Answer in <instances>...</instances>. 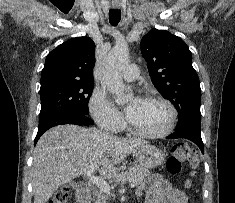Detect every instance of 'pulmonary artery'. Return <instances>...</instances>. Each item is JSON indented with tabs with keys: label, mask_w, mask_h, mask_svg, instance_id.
I'll list each match as a JSON object with an SVG mask.
<instances>
[{
	"label": "pulmonary artery",
	"mask_w": 235,
	"mask_h": 203,
	"mask_svg": "<svg viewBox=\"0 0 235 203\" xmlns=\"http://www.w3.org/2000/svg\"><path fill=\"white\" fill-rule=\"evenodd\" d=\"M138 75V67L135 64L127 65L122 71V78L128 82L135 81Z\"/></svg>",
	"instance_id": "e3ab8cb5"
}]
</instances>
